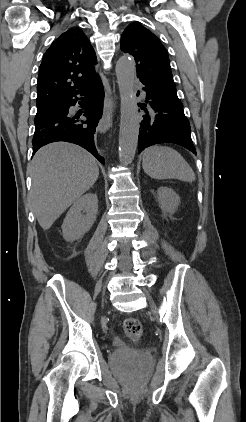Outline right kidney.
<instances>
[{"label":"right kidney","instance_id":"ca27d5eb","mask_svg":"<svg viewBox=\"0 0 246 422\" xmlns=\"http://www.w3.org/2000/svg\"><path fill=\"white\" fill-rule=\"evenodd\" d=\"M98 212V198L96 194L87 193L76 200L67 212L61 226L63 237L73 242L84 236L93 226Z\"/></svg>","mask_w":246,"mask_h":422}]
</instances>
